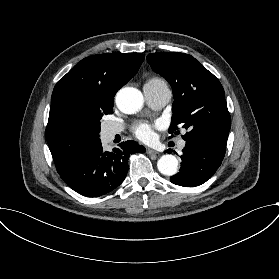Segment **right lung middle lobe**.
<instances>
[{"instance_id": "1", "label": "right lung middle lobe", "mask_w": 279, "mask_h": 279, "mask_svg": "<svg viewBox=\"0 0 279 279\" xmlns=\"http://www.w3.org/2000/svg\"><path fill=\"white\" fill-rule=\"evenodd\" d=\"M113 113V102L105 104L101 107L92 108L90 111L91 119L98 129H100V120L104 114H112Z\"/></svg>"}]
</instances>
